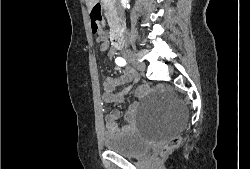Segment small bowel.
<instances>
[{
    "mask_svg": "<svg viewBox=\"0 0 250 169\" xmlns=\"http://www.w3.org/2000/svg\"><path fill=\"white\" fill-rule=\"evenodd\" d=\"M97 42L100 43L102 49H107L109 46L108 38L104 34H100L97 37ZM139 81V76L133 72H125L119 76L108 77L104 81V94L103 98L107 103H121L123 101V94L128 91V89L124 90L123 92H117L116 89L119 86L125 84H131ZM148 92V86L146 84L141 85L136 89V97L138 99H142ZM138 103L136 102L126 113L125 118L127 123L122 126H117V120L120 116L119 110H112L106 116V132L107 134L111 135L115 132L121 133H131L136 129L135 123V109Z\"/></svg>",
    "mask_w": 250,
    "mask_h": 169,
    "instance_id": "1",
    "label": "small bowel"
}]
</instances>
